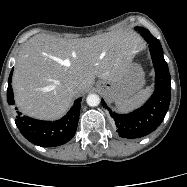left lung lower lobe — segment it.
Masks as SVG:
<instances>
[{
    "instance_id": "0a47b994",
    "label": "left lung lower lobe",
    "mask_w": 187,
    "mask_h": 187,
    "mask_svg": "<svg viewBox=\"0 0 187 187\" xmlns=\"http://www.w3.org/2000/svg\"><path fill=\"white\" fill-rule=\"evenodd\" d=\"M155 68V91L150 99L139 109L126 115L112 112L102 100L103 107L107 108L115 120L117 133L120 137L134 139L153 132L164 120L171 100V77L164 60L163 50L158 39L144 35Z\"/></svg>"
}]
</instances>
